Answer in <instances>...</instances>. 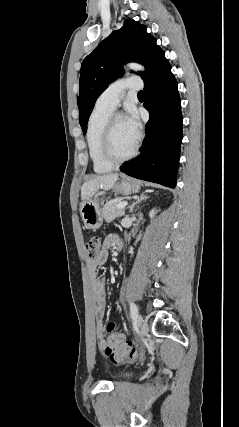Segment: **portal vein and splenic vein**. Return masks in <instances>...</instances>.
I'll return each mask as SVG.
<instances>
[{
	"instance_id": "portal-vein-and-splenic-vein-1",
	"label": "portal vein and splenic vein",
	"mask_w": 239,
	"mask_h": 427,
	"mask_svg": "<svg viewBox=\"0 0 239 427\" xmlns=\"http://www.w3.org/2000/svg\"><path fill=\"white\" fill-rule=\"evenodd\" d=\"M128 205V203L126 201L120 202L117 204V209H122L125 208Z\"/></svg>"
}]
</instances>
